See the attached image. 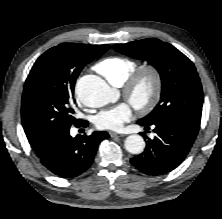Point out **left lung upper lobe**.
I'll list each match as a JSON object with an SVG mask.
<instances>
[{
    "label": "left lung upper lobe",
    "mask_w": 222,
    "mask_h": 219,
    "mask_svg": "<svg viewBox=\"0 0 222 219\" xmlns=\"http://www.w3.org/2000/svg\"><path fill=\"white\" fill-rule=\"evenodd\" d=\"M113 49L148 61L160 73L161 100L141 121L153 123L176 117L200 126L203 91L190 59L171 44L153 38L114 45Z\"/></svg>",
    "instance_id": "5c2ea615"
}]
</instances>
